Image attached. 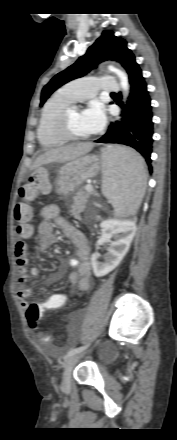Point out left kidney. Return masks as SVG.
Segmentation results:
<instances>
[{"label": "left kidney", "instance_id": "1", "mask_svg": "<svg viewBox=\"0 0 177 440\" xmlns=\"http://www.w3.org/2000/svg\"><path fill=\"white\" fill-rule=\"evenodd\" d=\"M102 234L97 241L98 245L110 244L104 262L98 261V253L91 257L93 272L96 277H102L114 270L122 261L129 250L130 244L135 235V223L108 219L101 223ZM114 238V241L111 239Z\"/></svg>", "mask_w": 177, "mask_h": 440}]
</instances>
